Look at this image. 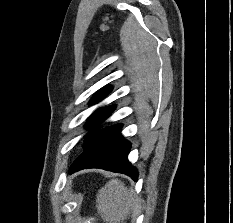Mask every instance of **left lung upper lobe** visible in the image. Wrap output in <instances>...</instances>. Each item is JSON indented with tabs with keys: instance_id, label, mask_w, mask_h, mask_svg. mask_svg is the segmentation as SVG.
Segmentation results:
<instances>
[{
	"instance_id": "left-lung-upper-lobe-1",
	"label": "left lung upper lobe",
	"mask_w": 233,
	"mask_h": 223,
	"mask_svg": "<svg viewBox=\"0 0 233 223\" xmlns=\"http://www.w3.org/2000/svg\"><path fill=\"white\" fill-rule=\"evenodd\" d=\"M112 90L111 86H105L102 89L98 90L93 97L90 100V104H94L102 100L105 96H107ZM115 105L106 107L104 109H100L96 111L94 114H92L89 119L86 122V128H92L95 125L99 124L101 121L106 119L115 109ZM99 133H90L86 137V141L84 143V147L89 145L97 136Z\"/></svg>"
}]
</instances>
